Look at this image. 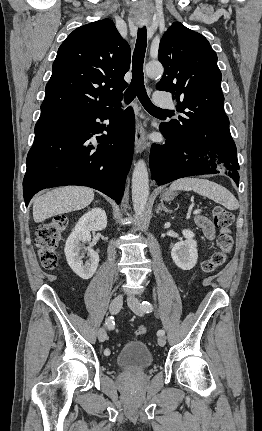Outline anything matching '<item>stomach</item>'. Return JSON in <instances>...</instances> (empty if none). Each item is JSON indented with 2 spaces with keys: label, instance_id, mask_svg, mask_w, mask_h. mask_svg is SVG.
<instances>
[{
  "label": "stomach",
  "instance_id": "stomach-1",
  "mask_svg": "<svg viewBox=\"0 0 262 431\" xmlns=\"http://www.w3.org/2000/svg\"><path fill=\"white\" fill-rule=\"evenodd\" d=\"M176 196V193L174 191L166 190L163 193V199L166 201L172 200Z\"/></svg>",
  "mask_w": 262,
  "mask_h": 431
}]
</instances>
